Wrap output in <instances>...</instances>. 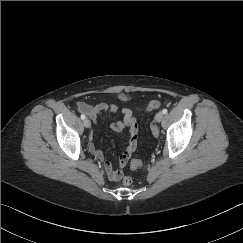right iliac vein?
Segmentation results:
<instances>
[{
  "mask_svg": "<svg viewBox=\"0 0 243 243\" xmlns=\"http://www.w3.org/2000/svg\"><path fill=\"white\" fill-rule=\"evenodd\" d=\"M83 124L86 128H90L91 127V122L89 119H84Z\"/></svg>",
  "mask_w": 243,
  "mask_h": 243,
  "instance_id": "63e3f726",
  "label": "right iliac vein"
}]
</instances>
